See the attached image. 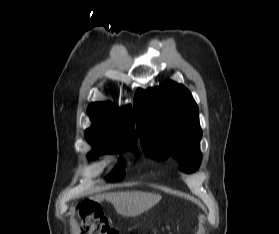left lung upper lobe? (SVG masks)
<instances>
[{
  "mask_svg": "<svg viewBox=\"0 0 279 234\" xmlns=\"http://www.w3.org/2000/svg\"><path fill=\"white\" fill-rule=\"evenodd\" d=\"M133 106L146 154L157 160L172 156L183 172L196 171L202 160V130L191 93L181 84L166 81L154 89H137Z\"/></svg>",
  "mask_w": 279,
  "mask_h": 234,
  "instance_id": "5c2ea615",
  "label": "left lung upper lobe"
}]
</instances>
